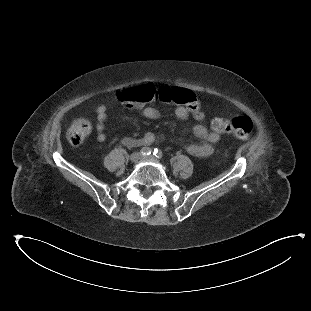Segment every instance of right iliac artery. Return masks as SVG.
<instances>
[{
	"instance_id": "82829eb1",
	"label": "right iliac artery",
	"mask_w": 311,
	"mask_h": 311,
	"mask_svg": "<svg viewBox=\"0 0 311 311\" xmlns=\"http://www.w3.org/2000/svg\"><path fill=\"white\" fill-rule=\"evenodd\" d=\"M140 152H141L142 155L147 156V155H150L152 153V149L149 148V147H143L140 150Z\"/></svg>"
}]
</instances>
